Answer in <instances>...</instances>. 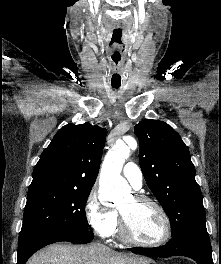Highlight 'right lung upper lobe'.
<instances>
[{
	"label": "right lung upper lobe",
	"mask_w": 221,
	"mask_h": 264,
	"mask_svg": "<svg viewBox=\"0 0 221 264\" xmlns=\"http://www.w3.org/2000/svg\"><path fill=\"white\" fill-rule=\"evenodd\" d=\"M107 131L88 123L61 128L41 154L28 191L45 187L92 189Z\"/></svg>",
	"instance_id": "1"
}]
</instances>
